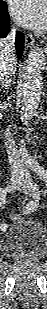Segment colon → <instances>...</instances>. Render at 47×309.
Masks as SVG:
<instances>
[{"mask_svg": "<svg viewBox=\"0 0 47 309\" xmlns=\"http://www.w3.org/2000/svg\"><path fill=\"white\" fill-rule=\"evenodd\" d=\"M11 218H12L13 221H17L18 219H20V216L17 215V214H12Z\"/></svg>", "mask_w": 47, "mask_h": 309, "instance_id": "1", "label": "colon"}]
</instances>
